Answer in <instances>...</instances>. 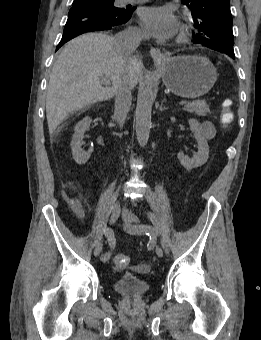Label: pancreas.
Listing matches in <instances>:
<instances>
[{"mask_svg": "<svg viewBox=\"0 0 261 340\" xmlns=\"http://www.w3.org/2000/svg\"><path fill=\"white\" fill-rule=\"evenodd\" d=\"M183 109L189 113H195L199 116H207L208 114H211L209 104H207L204 100L188 102Z\"/></svg>", "mask_w": 261, "mask_h": 340, "instance_id": "pancreas-1", "label": "pancreas"}]
</instances>
